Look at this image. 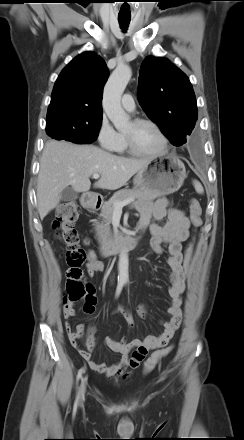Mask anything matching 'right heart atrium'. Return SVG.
<instances>
[{"mask_svg": "<svg viewBox=\"0 0 244 440\" xmlns=\"http://www.w3.org/2000/svg\"><path fill=\"white\" fill-rule=\"evenodd\" d=\"M119 139L118 132L113 128L106 115L101 117L97 130V141L106 150H113Z\"/></svg>", "mask_w": 244, "mask_h": 440, "instance_id": "d8ad5b80", "label": "right heart atrium"}]
</instances>
